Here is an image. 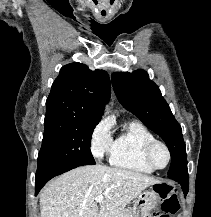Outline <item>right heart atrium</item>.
<instances>
[{
  "mask_svg": "<svg viewBox=\"0 0 211 217\" xmlns=\"http://www.w3.org/2000/svg\"><path fill=\"white\" fill-rule=\"evenodd\" d=\"M90 147L93 155L97 158L110 155L113 136L111 126L107 121H101L94 127L90 136Z\"/></svg>",
  "mask_w": 211,
  "mask_h": 217,
  "instance_id": "obj_1",
  "label": "right heart atrium"
}]
</instances>
